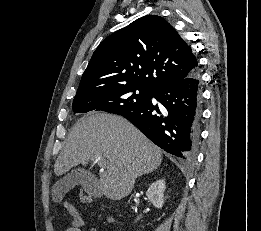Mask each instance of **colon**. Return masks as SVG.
I'll return each instance as SVG.
<instances>
[{"instance_id":"colon-1","label":"colon","mask_w":261,"mask_h":231,"mask_svg":"<svg viewBox=\"0 0 261 231\" xmlns=\"http://www.w3.org/2000/svg\"><path fill=\"white\" fill-rule=\"evenodd\" d=\"M82 200H83L85 203H91V202H92V199L89 198V197H86V196L82 197Z\"/></svg>"}]
</instances>
